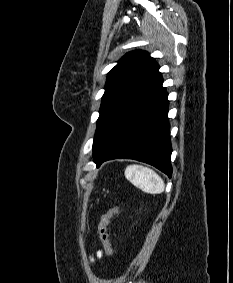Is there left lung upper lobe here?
Instances as JSON below:
<instances>
[{
  "label": "left lung upper lobe",
  "instance_id": "5c2ea615",
  "mask_svg": "<svg viewBox=\"0 0 233 283\" xmlns=\"http://www.w3.org/2000/svg\"><path fill=\"white\" fill-rule=\"evenodd\" d=\"M158 70V64L147 52L136 50L123 56L108 73L93 141V154L103 145Z\"/></svg>",
  "mask_w": 233,
  "mask_h": 283
}]
</instances>
